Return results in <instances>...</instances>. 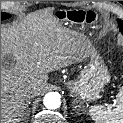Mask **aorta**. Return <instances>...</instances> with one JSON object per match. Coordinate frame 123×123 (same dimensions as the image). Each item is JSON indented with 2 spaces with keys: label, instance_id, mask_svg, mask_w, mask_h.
<instances>
[{
  "label": "aorta",
  "instance_id": "obj_1",
  "mask_svg": "<svg viewBox=\"0 0 123 123\" xmlns=\"http://www.w3.org/2000/svg\"><path fill=\"white\" fill-rule=\"evenodd\" d=\"M43 104L47 109H57L61 105V97L57 92H49L44 96Z\"/></svg>",
  "mask_w": 123,
  "mask_h": 123
}]
</instances>
